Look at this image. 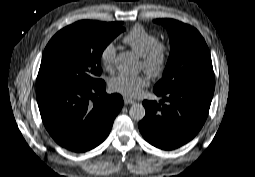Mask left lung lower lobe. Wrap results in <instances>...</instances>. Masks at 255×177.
Returning a JSON list of instances; mask_svg holds the SVG:
<instances>
[{"label":"left lung lower lobe","mask_w":255,"mask_h":177,"mask_svg":"<svg viewBox=\"0 0 255 177\" xmlns=\"http://www.w3.org/2000/svg\"><path fill=\"white\" fill-rule=\"evenodd\" d=\"M159 103L144 101L146 115L139 122L143 137L155 147L172 150L190 141L203 126L214 93V83L186 84L166 93ZM167 101L168 104H164Z\"/></svg>","instance_id":"1"}]
</instances>
